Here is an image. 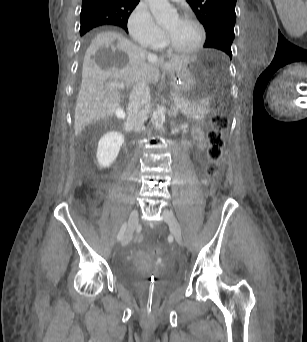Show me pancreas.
<instances>
[{
	"label": "pancreas",
	"instance_id": "pancreas-1",
	"mask_svg": "<svg viewBox=\"0 0 307 342\" xmlns=\"http://www.w3.org/2000/svg\"><path fill=\"white\" fill-rule=\"evenodd\" d=\"M174 101H177L178 104H189L188 108L184 107V111L186 112L187 117H204L206 111L209 108L208 103H199L201 100L198 98L196 101L192 100L189 97H186L185 94H174L172 96Z\"/></svg>",
	"mask_w": 307,
	"mask_h": 342
}]
</instances>
